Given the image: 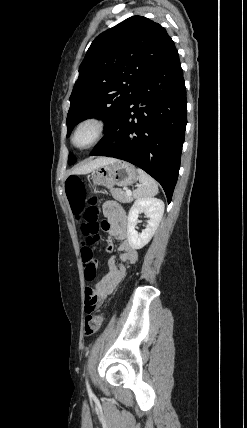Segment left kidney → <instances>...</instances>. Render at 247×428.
Instances as JSON below:
<instances>
[{
    "label": "left kidney",
    "mask_w": 247,
    "mask_h": 428,
    "mask_svg": "<svg viewBox=\"0 0 247 428\" xmlns=\"http://www.w3.org/2000/svg\"><path fill=\"white\" fill-rule=\"evenodd\" d=\"M149 218L148 225L140 234L135 230L139 214ZM164 213V203L157 198H140L132 205L128 214L127 238L133 249H141L151 240Z\"/></svg>",
    "instance_id": "left-kidney-1"
}]
</instances>
